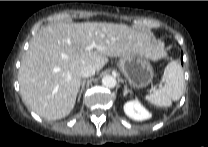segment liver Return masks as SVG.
Returning <instances> with one entry per match:
<instances>
[{
	"instance_id": "1",
	"label": "liver",
	"mask_w": 208,
	"mask_h": 147,
	"mask_svg": "<svg viewBox=\"0 0 208 147\" xmlns=\"http://www.w3.org/2000/svg\"><path fill=\"white\" fill-rule=\"evenodd\" d=\"M95 42V50L86 48ZM162 42L126 25L102 22L55 23L32 39L18 72L25 105L39 116L56 120L74 108L81 85L80 71H100L108 57L139 53L158 60L165 55Z\"/></svg>"
}]
</instances>
